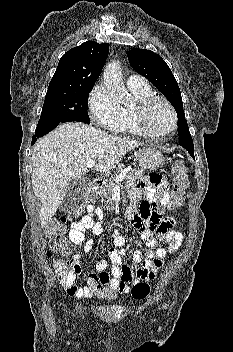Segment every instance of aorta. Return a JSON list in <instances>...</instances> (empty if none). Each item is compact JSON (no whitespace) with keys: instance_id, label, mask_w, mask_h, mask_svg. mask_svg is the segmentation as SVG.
Listing matches in <instances>:
<instances>
[{"instance_id":"obj_1","label":"aorta","mask_w":233,"mask_h":352,"mask_svg":"<svg viewBox=\"0 0 233 352\" xmlns=\"http://www.w3.org/2000/svg\"><path fill=\"white\" fill-rule=\"evenodd\" d=\"M103 78L104 84L116 100L121 103H127L131 100V95L126 90L123 83L119 62L112 61L108 63L104 69Z\"/></svg>"}]
</instances>
